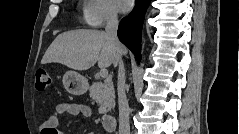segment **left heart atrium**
Here are the masks:
<instances>
[{
  "label": "left heart atrium",
  "mask_w": 239,
  "mask_h": 134,
  "mask_svg": "<svg viewBox=\"0 0 239 134\" xmlns=\"http://www.w3.org/2000/svg\"><path fill=\"white\" fill-rule=\"evenodd\" d=\"M116 3H117V6H118L119 10L122 11V12H127L132 7V1L131 0H118Z\"/></svg>",
  "instance_id": "1"
}]
</instances>
